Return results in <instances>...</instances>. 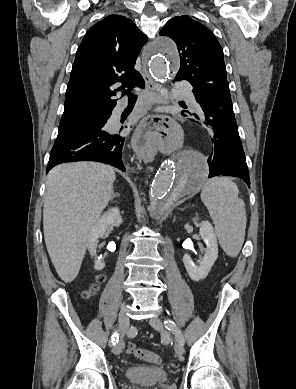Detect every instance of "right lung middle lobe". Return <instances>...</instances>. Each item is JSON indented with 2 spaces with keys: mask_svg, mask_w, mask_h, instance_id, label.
<instances>
[{
  "mask_svg": "<svg viewBox=\"0 0 296 389\" xmlns=\"http://www.w3.org/2000/svg\"><path fill=\"white\" fill-rule=\"evenodd\" d=\"M108 115H78L62 118L57 139L93 130L103 123Z\"/></svg>",
  "mask_w": 296,
  "mask_h": 389,
  "instance_id": "right-lung-middle-lobe-1",
  "label": "right lung middle lobe"
}]
</instances>
